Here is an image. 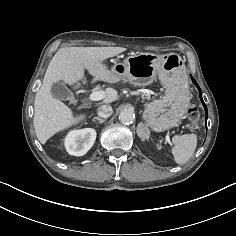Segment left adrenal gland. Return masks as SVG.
Returning a JSON list of instances; mask_svg holds the SVG:
<instances>
[{
  "label": "left adrenal gland",
  "mask_w": 236,
  "mask_h": 236,
  "mask_svg": "<svg viewBox=\"0 0 236 236\" xmlns=\"http://www.w3.org/2000/svg\"><path fill=\"white\" fill-rule=\"evenodd\" d=\"M140 125H143V124H142V123H140ZM140 125H139V126H140ZM137 132H138V135L140 136V133H139V127H138V130H137Z\"/></svg>",
  "instance_id": "left-adrenal-gland-1"
}]
</instances>
